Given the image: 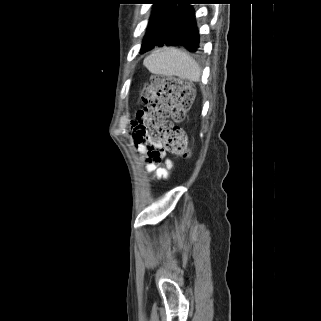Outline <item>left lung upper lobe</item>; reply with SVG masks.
<instances>
[{"label": "left lung upper lobe", "mask_w": 321, "mask_h": 321, "mask_svg": "<svg viewBox=\"0 0 321 321\" xmlns=\"http://www.w3.org/2000/svg\"><path fill=\"white\" fill-rule=\"evenodd\" d=\"M153 4V13L149 19L147 33L144 37L141 50L159 41L165 32L166 26L180 0H150Z\"/></svg>", "instance_id": "obj_1"}]
</instances>
